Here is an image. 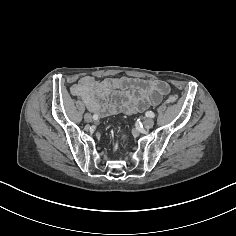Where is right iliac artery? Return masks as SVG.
I'll return each instance as SVG.
<instances>
[{
    "mask_svg": "<svg viewBox=\"0 0 236 236\" xmlns=\"http://www.w3.org/2000/svg\"><path fill=\"white\" fill-rule=\"evenodd\" d=\"M93 119H94V120H97V119H98V115H95V114H94V115H93Z\"/></svg>",
    "mask_w": 236,
    "mask_h": 236,
    "instance_id": "obj_1",
    "label": "right iliac artery"
}]
</instances>
